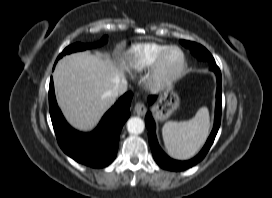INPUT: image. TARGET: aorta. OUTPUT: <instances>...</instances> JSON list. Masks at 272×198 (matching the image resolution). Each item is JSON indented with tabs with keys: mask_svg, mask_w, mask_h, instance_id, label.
Wrapping results in <instances>:
<instances>
[{
	"mask_svg": "<svg viewBox=\"0 0 272 198\" xmlns=\"http://www.w3.org/2000/svg\"><path fill=\"white\" fill-rule=\"evenodd\" d=\"M145 124L139 117H132L127 122V130L131 134H140L143 132Z\"/></svg>",
	"mask_w": 272,
	"mask_h": 198,
	"instance_id": "obj_1",
	"label": "aorta"
}]
</instances>
